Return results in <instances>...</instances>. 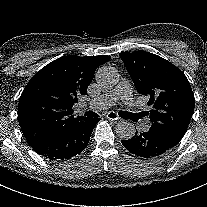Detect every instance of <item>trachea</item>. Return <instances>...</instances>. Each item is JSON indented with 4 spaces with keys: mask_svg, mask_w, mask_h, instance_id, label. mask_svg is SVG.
<instances>
[{
    "mask_svg": "<svg viewBox=\"0 0 207 207\" xmlns=\"http://www.w3.org/2000/svg\"><path fill=\"white\" fill-rule=\"evenodd\" d=\"M85 116L90 117V118H96L98 115L92 111H88L85 113Z\"/></svg>",
    "mask_w": 207,
    "mask_h": 207,
    "instance_id": "1",
    "label": "trachea"
}]
</instances>
